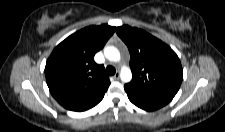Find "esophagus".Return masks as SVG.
<instances>
[{"instance_id": "34e87169", "label": "esophagus", "mask_w": 225, "mask_h": 132, "mask_svg": "<svg viewBox=\"0 0 225 132\" xmlns=\"http://www.w3.org/2000/svg\"><path fill=\"white\" fill-rule=\"evenodd\" d=\"M120 78V74L119 73H116L114 76H113V79L114 80H119Z\"/></svg>"}]
</instances>
